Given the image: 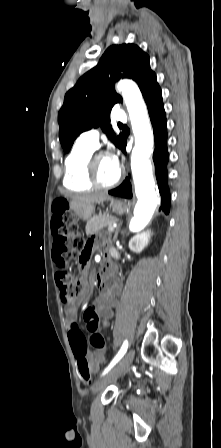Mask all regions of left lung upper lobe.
Returning a JSON list of instances; mask_svg holds the SVG:
<instances>
[{"label": "left lung upper lobe", "mask_w": 221, "mask_h": 448, "mask_svg": "<svg viewBox=\"0 0 221 448\" xmlns=\"http://www.w3.org/2000/svg\"><path fill=\"white\" fill-rule=\"evenodd\" d=\"M149 56L137 45L110 46L96 67L85 73L70 89L58 114L59 137L65 153L69 152L77 136L101 126L103 132L120 148L125 137L116 136L109 122L111 108L122 102L114 90L121 78H132L139 86L143 97L158 87L156 74L151 70Z\"/></svg>", "instance_id": "left-lung-upper-lobe-1"}]
</instances>
